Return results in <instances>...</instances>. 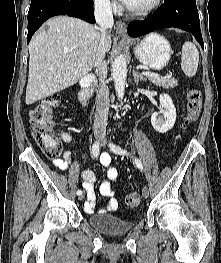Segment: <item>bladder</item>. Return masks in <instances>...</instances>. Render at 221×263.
I'll use <instances>...</instances> for the list:
<instances>
[{"label": "bladder", "instance_id": "obj_1", "mask_svg": "<svg viewBox=\"0 0 221 263\" xmlns=\"http://www.w3.org/2000/svg\"><path fill=\"white\" fill-rule=\"evenodd\" d=\"M89 225L98 232L107 236H118L132 230L133 220H124L113 214L91 215Z\"/></svg>", "mask_w": 221, "mask_h": 263}]
</instances>
